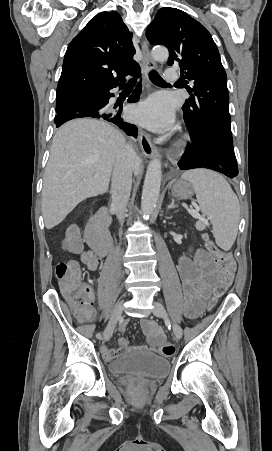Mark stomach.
I'll use <instances>...</instances> for the list:
<instances>
[{"label":"stomach","mask_w":272,"mask_h":451,"mask_svg":"<svg viewBox=\"0 0 272 451\" xmlns=\"http://www.w3.org/2000/svg\"><path fill=\"white\" fill-rule=\"evenodd\" d=\"M194 190L188 182H184V180H178L172 186V196L174 198H180V200H187V198H191L193 196Z\"/></svg>","instance_id":"obj_1"}]
</instances>
